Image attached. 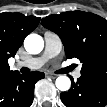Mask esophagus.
<instances>
[{
    "mask_svg": "<svg viewBox=\"0 0 107 107\" xmlns=\"http://www.w3.org/2000/svg\"><path fill=\"white\" fill-rule=\"evenodd\" d=\"M46 75L50 78H53V79L57 77V75H54V74H51V73H47Z\"/></svg>",
    "mask_w": 107,
    "mask_h": 107,
    "instance_id": "1",
    "label": "esophagus"
}]
</instances>
